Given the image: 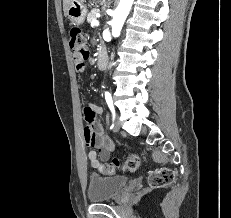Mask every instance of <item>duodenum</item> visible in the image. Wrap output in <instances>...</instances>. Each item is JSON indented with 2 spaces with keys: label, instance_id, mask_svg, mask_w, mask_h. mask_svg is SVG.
Wrapping results in <instances>:
<instances>
[{
  "label": "duodenum",
  "instance_id": "410a0bca",
  "mask_svg": "<svg viewBox=\"0 0 231 218\" xmlns=\"http://www.w3.org/2000/svg\"><path fill=\"white\" fill-rule=\"evenodd\" d=\"M106 59V53L103 49H100L96 58V63L98 66H102Z\"/></svg>",
  "mask_w": 231,
  "mask_h": 218
}]
</instances>
